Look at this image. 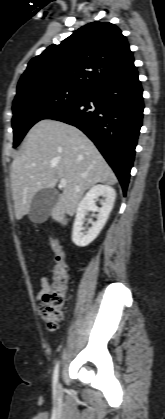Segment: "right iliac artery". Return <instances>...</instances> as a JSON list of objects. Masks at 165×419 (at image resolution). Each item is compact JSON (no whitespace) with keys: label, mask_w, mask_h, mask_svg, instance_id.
Here are the masks:
<instances>
[{"label":"right iliac artery","mask_w":165,"mask_h":419,"mask_svg":"<svg viewBox=\"0 0 165 419\" xmlns=\"http://www.w3.org/2000/svg\"><path fill=\"white\" fill-rule=\"evenodd\" d=\"M58 375H59V362L56 363L54 372H53V384L54 386L58 383Z\"/></svg>","instance_id":"1"}]
</instances>
